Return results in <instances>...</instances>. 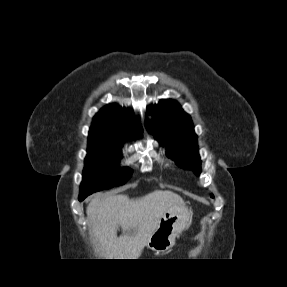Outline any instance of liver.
<instances>
[{
	"mask_svg": "<svg viewBox=\"0 0 287 287\" xmlns=\"http://www.w3.org/2000/svg\"><path fill=\"white\" fill-rule=\"evenodd\" d=\"M181 205L184 200L178 194L155 190L134 199L124 194L98 195L89 202L86 213L102 257L137 259L163 214ZM119 227L122 234L117 237Z\"/></svg>",
	"mask_w": 287,
	"mask_h": 287,
	"instance_id": "6515ba94",
	"label": "liver"
}]
</instances>
